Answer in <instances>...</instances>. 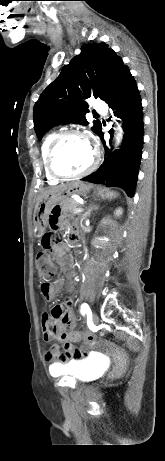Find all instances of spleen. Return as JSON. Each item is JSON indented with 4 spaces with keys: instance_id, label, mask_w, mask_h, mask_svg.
<instances>
[{
    "instance_id": "spleen-1",
    "label": "spleen",
    "mask_w": 165,
    "mask_h": 461,
    "mask_svg": "<svg viewBox=\"0 0 165 461\" xmlns=\"http://www.w3.org/2000/svg\"><path fill=\"white\" fill-rule=\"evenodd\" d=\"M117 195L118 194L116 192L108 191V192H106L105 195H103V197L105 196L108 199H112V198H115Z\"/></svg>"
}]
</instances>
